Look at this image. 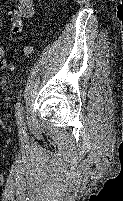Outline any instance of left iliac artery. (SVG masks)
<instances>
[{
  "instance_id": "left-iliac-artery-1",
  "label": "left iliac artery",
  "mask_w": 123,
  "mask_h": 201,
  "mask_svg": "<svg viewBox=\"0 0 123 201\" xmlns=\"http://www.w3.org/2000/svg\"><path fill=\"white\" fill-rule=\"evenodd\" d=\"M15 116H16V121L19 127L20 132L24 133L25 132V125H24V117H23V107L22 103L18 101L15 105Z\"/></svg>"
}]
</instances>
